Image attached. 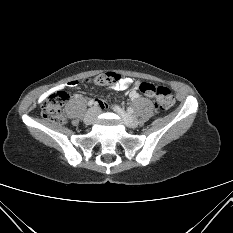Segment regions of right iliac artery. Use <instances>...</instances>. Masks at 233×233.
I'll use <instances>...</instances> for the list:
<instances>
[{
  "label": "right iliac artery",
  "mask_w": 233,
  "mask_h": 233,
  "mask_svg": "<svg viewBox=\"0 0 233 233\" xmlns=\"http://www.w3.org/2000/svg\"><path fill=\"white\" fill-rule=\"evenodd\" d=\"M95 100L94 99H91L89 102H88V105L89 106H92V105H95Z\"/></svg>",
  "instance_id": "right-iliac-artery-1"
}]
</instances>
